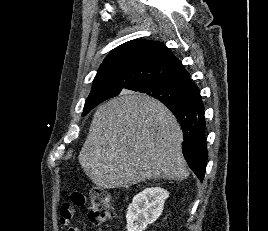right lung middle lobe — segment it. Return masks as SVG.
I'll return each mask as SVG.
<instances>
[{
	"label": "right lung middle lobe",
	"instance_id": "right-lung-middle-lobe-1",
	"mask_svg": "<svg viewBox=\"0 0 268 231\" xmlns=\"http://www.w3.org/2000/svg\"><path fill=\"white\" fill-rule=\"evenodd\" d=\"M130 90L138 91L140 93H145L149 96H152L163 103V101L167 102H176V103H186L189 102L194 95L183 89L176 88L171 86L167 83L158 82V81H142L135 84ZM121 89H108L104 90L102 95L109 96V95H118ZM95 102L87 104L85 102L84 112L82 116L86 115L90 112L96 105Z\"/></svg>",
	"mask_w": 268,
	"mask_h": 231
}]
</instances>
